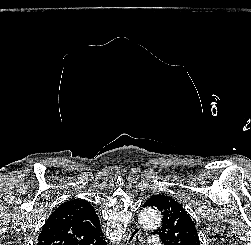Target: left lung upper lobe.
<instances>
[{
	"label": "left lung upper lobe",
	"mask_w": 251,
	"mask_h": 245,
	"mask_svg": "<svg viewBox=\"0 0 251 245\" xmlns=\"http://www.w3.org/2000/svg\"><path fill=\"white\" fill-rule=\"evenodd\" d=\"M144 207H156L163 221L159 229L151 234L158 235L164 245H200L196 227L185 209L174 199L163 195H153Z\"/></svg>",
	"instance_id": "5c2ea615"
}]
</instances>
